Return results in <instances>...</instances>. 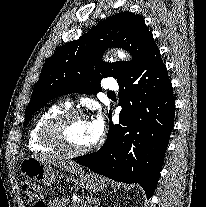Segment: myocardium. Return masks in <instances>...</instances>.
<instances>
[{
    "mask_svg": "<svg viewBox=\"0 0 206 207\" xmlns=\"http://www.w3.org/2000/svg\"><path fill=\"white\" fill-rule=\"evenodd\" d=\"M72 120H83L88 122L87 116L79 111L67 110L58 113L44 123L40 131V139L43 144L65 156H84L94 150L95 145L93 143L86 148L72 150L63 144L59 135L60 128Z\"/></svg>",
    "mask_w": 206,
    "mask_h": 207,
    "instance_id": "1",
    "label": "myocardium"
}]
</instances>
